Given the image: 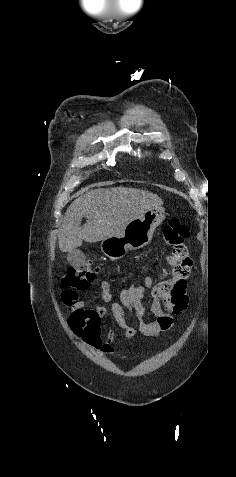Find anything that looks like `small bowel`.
Instances as JSON below:
<instances>
[{"label":"small bowel","instance_id":"c3829d8e","mask_svg":"<svg viewBox=\"0 0 236 477\" xmlns=\"http://www.w3.org/2000/svg\"><path fill=\"white\" fill-rule=\"evenodd\" d=\"M191 266L192 261L187 257L180 262L170 280L154 283L153 279L147 276L142 284L121 289L119 302L112 300L110 282L102 280L101 299L103 303L109 304L108 309L105 306L88 307L84 302L76 301L71 292L65 291L62 294V302L70 311L68 317L70 331L75 337L106 355L114 353L111 345L114 339L113 332H109L104 338L101 336V320L108 314L127 339L133 338L137 333V329L128 323V313L137 318L138 333L143 337H158L168 332L174 325V318L182 315L187 309L189 302L187 275ZM180 272L183 274H179ZM146 289L150 290L152 297L148 310L143 304ZM148 312L154 320H145Z\"/></svg>","mask_w":236,"mask_h":477}]
</instances>
